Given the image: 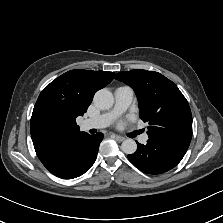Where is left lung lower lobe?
Returning <instances> with one entry per match:
<instances>
[{
  "instance_id": "1",
  "label": "left lung lower lobe",
  "mask_w": 223,
  "mask_h": 223,
  "mask_svg": "<svg viewBox=\"0 0 223 223\" xmlns=\"http://www.w3.org/2000/svg\"><path fill=\"white\" fill-rule=\"evenodd\" d=\"M137 151L128 159L141 171L148 174H161L174 168L186 151L148 139L146 145L137 142Z\"/></svg>"
}]
</instances>
